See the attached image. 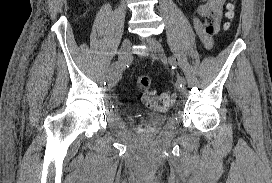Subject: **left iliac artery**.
Returning <instances> with one entry per match:
<instances>
[{
    "mask_svg": "<svg viewBox=\"0 0 272 183\" xmlns=\"http://www.w3.org/2000/svg\"><path fill=\"white\" fill-rule=\"evenodd\" d=\"M168 61L173 69H175L177 67V61L174 57H172V56L168 57ZM177 82H178V85L180 86V88H184L186 85V80L183 76H178Z\"/></svg>",
    "mask_w": 272,
    "mask_h": 183,
    "instance_id": "obj_1",
    "label": "left iliac artery"
}]
</instances>
